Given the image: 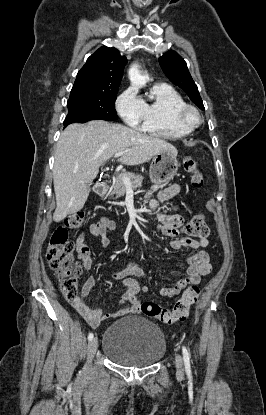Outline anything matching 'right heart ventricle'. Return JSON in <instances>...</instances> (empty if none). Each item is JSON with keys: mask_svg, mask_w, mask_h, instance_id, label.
I'll use <instances>...</instances> for the list:
<instances>
[{"mask_svg": "<svg viewBox=\"0 0 266 415\" xmlns=\"http://www.w3.org/2000/svg\"><path fill=\"white\" fill-rule=\"evenodd\" d=\"M182 95L172 86L155 84L144 102L145 115L142 130L166 139H178L192 132V127L181 124L176 118L177 110L185 105Z\"/></svg>", "mask_w": 266, "mask_h": 415, "instance_id": "e07e8e85", "label": "right heart ventricle"}]
</instances>
